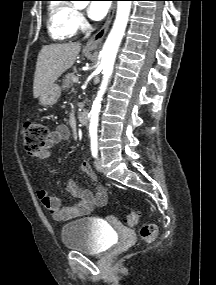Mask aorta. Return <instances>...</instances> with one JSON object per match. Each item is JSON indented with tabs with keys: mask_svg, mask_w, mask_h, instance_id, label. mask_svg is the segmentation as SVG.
Segmentation results:
<instances>
[{
	"mask_svg": "<svg viewBox=\"0 0 216 285\" xmlns=\"http://www.w3.org/2000/svg\"><path fill=\"white\" fill-rule=\"evenodd\" d=\"M131 1H118L117 2V12L113 27L106 39V42L101 51V67L103 69V79L98 91L97 97L95 98L92 108H91V119L89 125L90 134L97 133L99 112L101 108L102 97L108 85V81L113 72V66L117 51L129 19L131 11Z\"/></svg>",
	"mask_w": 216,
	"mask_h": 285,
	"instance_id": "1",
	"label": "aorta"
}]
</instances>
